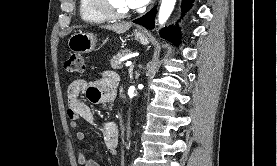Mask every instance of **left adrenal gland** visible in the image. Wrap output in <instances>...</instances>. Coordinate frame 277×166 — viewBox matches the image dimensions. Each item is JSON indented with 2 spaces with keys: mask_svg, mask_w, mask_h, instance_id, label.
Segmentation results:
<instances>
[{
  "mask_svg": "<svg viewBox=\"0 0 277 166\" xmlns=\"http://www.w3.org/2000/svg\"><path fill=\"white\" fill-rule=\"evenodd\" d=\"M133 68H134V65H132L129 69V74H130V78L132 79L133 77Z\"/></svg>",
  "mask_w": 277,
  "mask_h": 166,
  "instance_id": "left-adrenal-gland-1",
  "label": "left adrenal gland"
}]
</instances>
